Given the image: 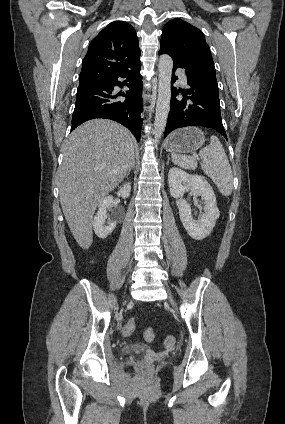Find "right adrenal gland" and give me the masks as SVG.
<instances>
[{"mask_svg": "<svg viewBox=\"0 0 285 424\" xmlns=\"http://www.w3.org/2000/svg\"><path fill=\"white\" fill-rule=\"evenodd\" d=\"M134 168H135V159H133V161L131 163V166L129 167V169H128V171H127V173H126L125 176L128 177L129 174H130V172H131V170L134 169Z\"/></svg>", "mask_w": 285, "mask_h": 424, "instance_id": "right-adrenal-gland-1", "label": "right adrenal gland"}]
</instances>
